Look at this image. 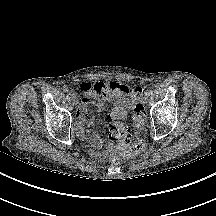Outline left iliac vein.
Masks as SVG:
<instances>
[{
  "instance_id": "obj_1",
  "label": "left iliac vein",
  "mask_w": 216,
  "mask_h": 216,
  "mask_svg": "<svg viewBox=\"0 0 216 216\" xmlns=\"http://www.w3.org/2000/svg\"><path fill=\"white\" fill-rule=\"evenodd\" d=\"M148 100H149L148 95H145L144 98H143V103L146 104L148 102Z\"/></svg>"
}]
</instances>
